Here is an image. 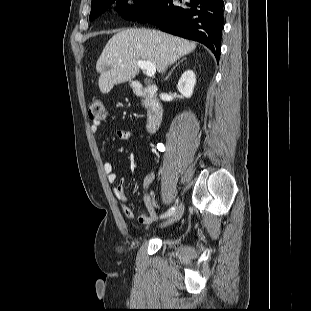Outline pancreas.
I'll use <instances>...</instances> for the list:
<instances>
[{"instance_id":"obj_1","label":"pancreas","mask_w":311,"mask_h":311,"mask_svg":"<svg viewBox=\"0 0 311 311\" xmlns=\"http://www.w3.org/2000/svg\"><path fill=\"white\" fill-rule=\"evenodd\" d=\"M148 101H149L148 98L142 100L143 105H147Z\"/></svg>"}]
</instances>
